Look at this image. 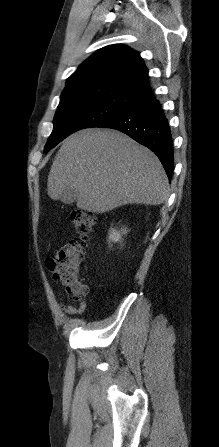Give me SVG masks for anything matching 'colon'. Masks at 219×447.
I'll use <instances>...</instances> for the list:
<instances>
[{"label":"colon","mask_w":219,"mask_h":447,"mask_svg":"<svg viewBox=\"0 0 219 447\" xmlns=\"http://www.w3.org/2000/svg\"><path fill=\"white\" fill-rule=\"evenodd\" d=\"M70 219L79 237L58 247L48 259L47 265L54 280L65 287L69 298L80 302L88 292L80 280V264L85 256L88 236L95 224V218L89 212L76 210L71 213Z\"/></svg>","instance_id":"colon-1"}]
</instances>
